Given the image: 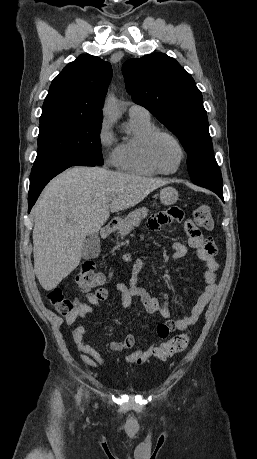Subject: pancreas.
<instances>
[{
    "label": "pancreas",
    "mask_w": 257,
    "mask_h": 459,
    "mask_svg": "<svg viewBox=\"0 0 257 459\" xmlns=\"http://www.w3.org/2000/svg\"><path fill=\"white\" fill-rule=\"evenodd\" d=\"M147 213L148 209L145 207L138 208L133 212L129 213L128 216L119 226V235L121 237L128 235L134 229V227L140 224L141 220L146 218Z\"/></svg>",
    "instance_id": "1"
}]
</instances>
